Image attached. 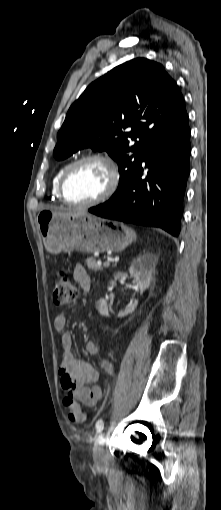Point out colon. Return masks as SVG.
I'll return each instance as SVG.
<instances>
[{"instance_id": "1", "label": "colon", "mask_w": 221, "mask_h": 510, "mask_svg": "<svg viewBox=\"0 0 221 510\" xmlns=\"http://www.w3.org/2000/svg\"><path fill=\"white\" fill-rule=\"evenodd\" d=\"M77 296V289L72 283L68 271L61 270L54 283L52 294L53 304L55 307L60 308L74 301ZM63 403L68 409L69 419L72 422L82 423L85 420V413L81 405L74 398L66 396Z\"/></svg>"}]
</instances>
